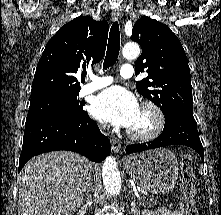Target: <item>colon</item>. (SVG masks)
I'll return each instance as SVG.
<instances>
[{
  "label": "colon",
  "instance_id": "5ec220e1",
  "mask_svg": "<svg viewBox=\"0 0 221 215\" xmlns=\"http://www.w3.org/2000/svg\"><path fill=\"white\" fill-rule=\"evenodd\" d=\"M196 190V178L192 169L190 155H184L181 161V191L180 206L183 215H198L195 206L194 195Z\"/></svg>",
  "mask_w": 221,
  "mask_h": 215
}]
</instances>
